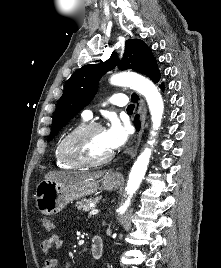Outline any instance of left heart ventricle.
Instances as JSON below:
<instances>
[{
    "instance_id": "obj_1",
    "label": "left heart ventricle",
    "mask_w": 221,
    "mask_h": 268,
    "mask_svg": "<svg viewBox=\"0 0 221 268\" xmlns=\"http://www.w3.org/2000/svg\"><path fill=\"white\" fill-rule=\"evenodd\" d=\"M77 148L90 158H102L110 154L104 130H94L85 135L78 143Z\"/></svg>"
}]
</instances>
